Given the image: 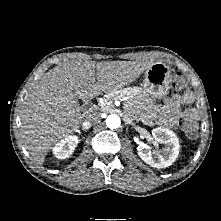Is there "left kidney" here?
<instances>
[{
    "mask_svg": "<svg viewBox=\"0 0 221 221\" xmlns=\"http://www.w3.org/2000/svg\"><path fill=\"white\" fill-rule=\"evenodd\" d=\"M152 136L158 143H163L165 148L160 153L152 152L149 147L141 143L137 147L139 157L147 164L155 168H165L170 166L178 157L179 140L175 133L165 128H155Z\"/></svg>",
    "mask_w": 221,
    "mask_h": 221,
    "instance_id": "left-kidney-1",
    "label": "left kidney"
}]
</instances>
